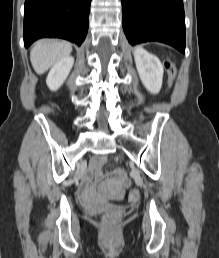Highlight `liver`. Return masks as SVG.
I'll list each match as a JSON object with an SVG mask.
<instances>
[{"label":"liver","instance_id":"6515ba94","mask_svg":"<svg viewBox=\"0 0 219 258\" xmlns=\"http://www.w3.org/2000/svg\"><path fill=\"white\" fill-rule=\"evenodd\" d=\"M72 51L70 43L58 40L37 41L31 52L30 60L35 72L39 75L45 73L51 66Z\"/></svg>","mask_w":219,"mask_h":258}]
</instances>
